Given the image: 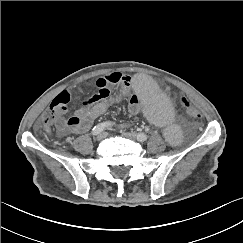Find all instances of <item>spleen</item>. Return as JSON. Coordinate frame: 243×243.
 <instances>
[{
	"mask_svg": "<svg viewBox=\"0 0 243 243\" xmlns=\"http://www.w3.org/2000/svg\"><path fill=\"white\" fill-rule=\"evenodd\" d=\"M130 90L160 141L168 145L180 142L185 133L184 123L157 79L147 73L139 74L132 80Z\"/></svg>",
	"mask_w": 243,
	"mask_h": 243,
	"instance_id": "1",
	"label": "spleen"
}]
</instances>
